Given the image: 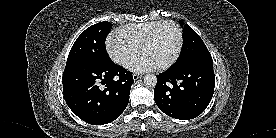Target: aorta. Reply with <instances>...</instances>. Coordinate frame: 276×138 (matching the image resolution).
<instances>
[{
	"label": "aorta",
	"mask_w": 276,
	"mask_h": 138,
	"mask_svg": "<svg viewBox=\"0 0 276 138\" xmlns=\"http://www.w3.org/2000/svg\"><path fill=\"white\" fill-rule=\"evenodd\" d=\"M144 84L148 87H155L157 84V78L153 74H146L144 77Z\"/></svg>",
	"instance_id": "obj_1"
}]
</instances>
